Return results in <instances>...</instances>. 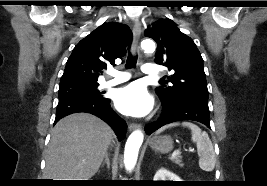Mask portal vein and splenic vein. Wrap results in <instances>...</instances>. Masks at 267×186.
Masks as SVG:
<instances>
[{
  "instance_id": "1",
  "label": "portal vein and splenic vein",
  "mask_w": 267,
  "mask_h": 186,
  "mask_svg": "<svg viewBox=\"0 0 267 186\" xmlns=\"http://www.w3.org/2000/svg\"><path fill=\"white\" fill-rule=\"evenodd\" d=\"M178 154H179L178 150L174 151L173 154H172V158L176 157Z\"/></svg>"
}]
</instances>
